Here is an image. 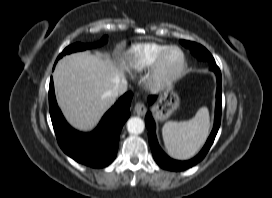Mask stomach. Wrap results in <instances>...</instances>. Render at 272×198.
Wrapping results in <instances>:
<instances>
[{
    "mask_svg": "<svg viewBox=\"0 0 272 198\" xmlns=\"http://www.w3.org/2000/svg\"><path fill=\"white\" fill-rule=\"evenodd\" d=\"M180 107L179 95L171 91H165L161 94L158 104L155 106V118L164 121L169 118Z\"/></svg>",
    "mask_w": 272,
    "mask_h": 198,
    "instance_id": "0dacf381",
    "label": "stomach"
}]
</instances>
